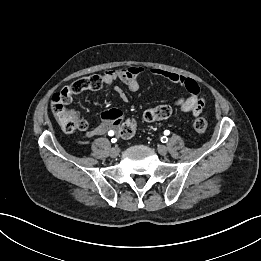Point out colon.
Wrapping results in <instances>:
<instances>
[{
  "instance_id": "1",
  "label": "colon",
  "mask_w": 261,
  "mask_h": 261,
  "mask_svg": "<svg viewBox=\"0 0 261 261\" xmlns=\"http://www.w3.org/2000/svg\"><path fill=\"white\" fill-rule=\"evenodd\" d=\"M87 78L79 79L61 91L55 93L51 100L52 112L61 126L66 132H74L77 130H85L87 122L79 117L76 110L69 107L72 95L80 93L88 86ZM171 115V109L167 105H159L146 110L141 120L143 122H155L165 120ZM108 117L119 124V133L123 138H132L137 131V120L134 118H124L121 112L112 111ZM208 123L206 119L198 117L193 122V128L198 133L206 131Z\"/></svg>"
}]
</instances>
